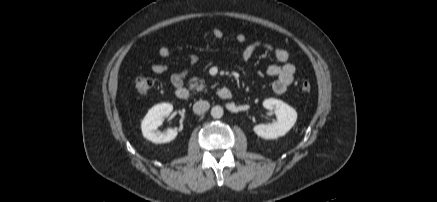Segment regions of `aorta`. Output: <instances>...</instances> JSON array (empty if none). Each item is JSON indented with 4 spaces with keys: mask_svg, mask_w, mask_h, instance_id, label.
<instances>
[{
    "mask_svg": "<svg viewBox=\"0 0 437 202\" xmlns=\"http://www.w3.org/2000/svg\"><path fill=\"white\" fill-rule=\"evenodd\" d=\"M224 110L221 106L216 105L211 109V116L215 119H219L223 116Z\"/></svg>",
    "mask_w": 437,
    "mask_h": 202,
    "instance_id": "762f6f07",
    "label": "aorta"
}]
</instances>
